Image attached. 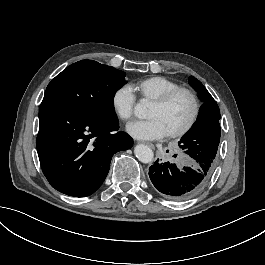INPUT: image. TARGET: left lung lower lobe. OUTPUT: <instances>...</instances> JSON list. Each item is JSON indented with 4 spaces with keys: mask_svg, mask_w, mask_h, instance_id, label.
<instances>
[{
    "mask_svg": "<svg viewBox=\"0 0 265 265\" xmlns=\"http://www.w3.org/2000/svg\"><path fill=\"white\" fill-rule=\"evenodd\" d=\"M214 165L211 162L193 161L191 166L159 163L157 160L149 171L154 187L167 198L185 201L197 195L209 180Z\"/></svg>",
    "mask_w": 265,
    "mask_h": 265,
    "instance_id": "left-lung-lower-lobe-1",
    "label": "left lung lower lobe"
}]
</instances>
